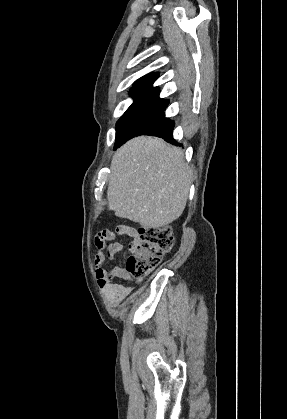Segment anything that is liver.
Returning <instances> with one entry per match:
<instances>
[{
  "label": "liver",
  "instance_id": "liver-1",
  "mask_svg": "<svg viewBox=\"0 0 287 419\" xmlns=\"http://www.w3.org/2000/svg\"><path fill=\"white\" fill-rule=\"evenodd\" d=\"M191 176L180 148L156 137L133 138L112 158L108 207L147 228L167 226L185 209Z\"/></svg>",
  "mask_w": 287,
  "mask_h": 419
}]
</instances>
